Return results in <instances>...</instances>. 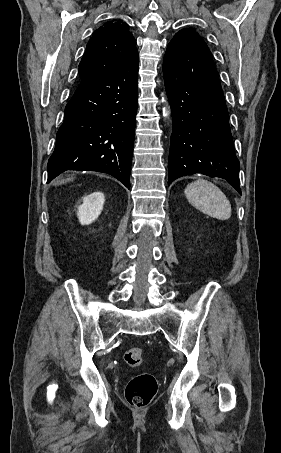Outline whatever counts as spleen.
Returning <instances> with one entry per match:
<instances>
[{"label":"spleen","mask_w":281,"mask_h":453,"mask_svg":"<svg viewBox=\"0 0 281 453\" xmlns=\"http://www.w3.org/2000/svg\"><path fill=\"white\" fill-rule=\"evenodd\" d=\"M184 192L188 202L205 214L219 218V220L230 218L231 204L226 194L213 182L199 178V180L187 184Z\"/></svg>","instance_id":"1"}]
</instances>
